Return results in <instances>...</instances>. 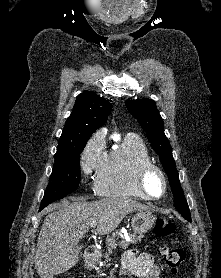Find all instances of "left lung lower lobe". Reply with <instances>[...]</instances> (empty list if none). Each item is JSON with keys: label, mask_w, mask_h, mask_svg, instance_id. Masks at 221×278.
<instances>
[{"label": "left lung lower lobe", "mask_w": 221, "mask_h": 278, "mask_svg": "<svg viewBox=\"0 0 221 278\" xmlns=\"http://www.w3.org/2000/svg\"><path fill=\"white\" fill-rule=\"evenodd\" d=\"M185 219H187L188 221H191V217H185Z\"/></svg>", "instance_id": "1"}]
</instances>
